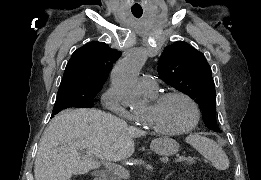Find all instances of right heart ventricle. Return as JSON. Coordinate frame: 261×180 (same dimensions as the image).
<instances>
[{"label": "right heart ventricle", "instance_id": "right-heart-ventricle-1", "mask_svg": "<svg viewBox=\"0 0 261 180\" xmlns=\"http://www.w3.org/2000/svg\"><path fill=\"white\" fill-rule=\"evenodd\" d=\"M148 95H153L154 93H147Z\"/></svg>", "mask_w": 261, "mask_h": 180}]
</instances>
